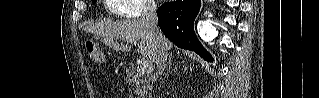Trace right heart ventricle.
I'll return each mask as SVG.
<instances>
[{
	"mask_svg": "<svg viewBox=\"0 0 319 98\" xmlns=\"http://www.w3.org/2000/svg\"><path fill=\"white\" fill-rule=\"evenodd\" d=\"M109 9L115 14H121L122 11L127 7L125 0H109Z\"/></svg>",
	"mask_w": 319,
	"mask_h": 98,
	"instance_id": "e07e8e85",
	"label": "right heart ventricle"
}]
</instances>
